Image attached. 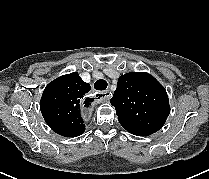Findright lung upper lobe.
<instances>
[{
    "label": "right lung upper lobe",
    "instance_id": "1",
    "mask_svg": "<svg viewBox=\"0 0 209 179\" xmlns=\"http://www.w3.org/2000/svg\"><path fill=\"white\" fill-rule=\"evenodd\" d=\"M91 89L77 72L50 82L41 97L40 109L47 125L57 134L76 137L85 131L81 116L84 107L93 101L86 93Z\"/></svg>",
    "mask_w": 209,
    "mask_h": 179
}]
</instances>
